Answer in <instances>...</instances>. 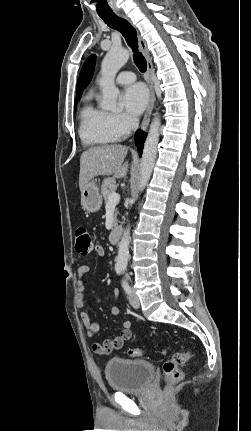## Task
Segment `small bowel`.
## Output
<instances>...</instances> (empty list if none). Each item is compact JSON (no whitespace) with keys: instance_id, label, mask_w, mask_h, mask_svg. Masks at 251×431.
I'll return each instance as SVG.
<instances>
[{"instance_id":"c3829d8e","label":"small bowel","mask_w":251,"mask_h":431,"mask_svg":"<svg viewBox=\"0 0 251 431\" xmlns=\"http://www.w3.org/2000/svg\"><path fill=\"white\" fill-rule=\"evenodd\" d=\"M96 252L100 256L105 255V249L97 245L96 246ZM92 266L91 265H80L77 268V284H76V297H75V303L78 309L81 310L80 312V318L82 320V323L86 329V334L88 337L93 338L97 334L98 331V324L95 320H93L89 314L84 310L85 307V301H84V291H85V285H84V279L91 271ZM110 312L113 316H117L120 312L118 307V291H114V300L110 308ZM131 322L128 320H124L122 322V330L120 335L111 338L106 339L103 342H94L92 344V349L95 353L98 354H110L114 350L121 349L124 345V343L129 340L132 336L131 331Z\"/></svg>"}]
</instances>
